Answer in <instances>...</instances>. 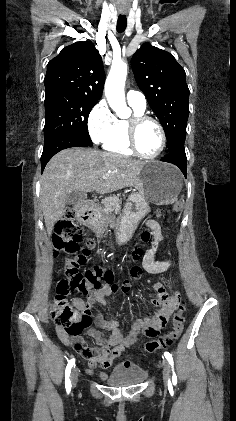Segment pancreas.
I'll return each instance as SVG.
<instances>
[{
	"label": "pancreas",
	"instance_id": "obj_1",
	"mask_svg": "<svg viewBox=\"0 0 236 421\" xmlns=\"http://www.w3.org/2000/svg\"><path fill=\"white\" fill-rule=\"evenodd\" d=\"M103 204V211L105 215H110L113 211H115L116 215H119L121 208L119 196H116V194H114V196H109V198H105V200H103Z\"/></svg>",
	"mask_w": 236,
	"mask_h": 421
}]
</instances>
